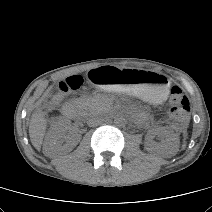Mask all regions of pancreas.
I'll return each mask as SVG.
<instances>
[{
	"mask_svg": "<svg viewBox=\"0 0 212 212\" xmlns=\"http://www.w3.org/2000/svg\"><path fill=\"white\" fill-rule=\"evenodd\" d=\"M75 103L84 112L97 111L102 107L101 99L92 96H82L75 100Z\"/></svg>",
	"mask_w": 212,
	"mask_h": 212,
	"instance_id": "obj_1",
	"label": "pancreas"
}]
</instances>
